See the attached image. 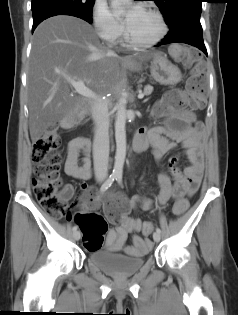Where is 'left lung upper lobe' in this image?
Returning a JSON list of instances; mask_svg holds the SVG:
<instances>
[{"label": "left lung upper lobe", "instance_id": "1", "mask_svg": "<svg viewBox=\"0 0 238 315\" xmlns=\"http://www.w3.org/2000/svg\"><path fill=\"white\" fill-rule=\"evenodd\" d=\"M161 13L165 16V22L169 29L178 21L190 14H201L202 0H153Z\"/></svg>", "mask_w": 238, "mask_h": 315}]
</instances>
